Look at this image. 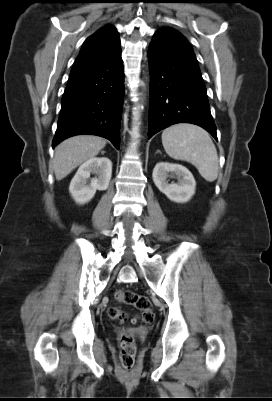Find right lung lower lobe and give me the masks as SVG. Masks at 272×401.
Returning a JSON list of instances; mask_svg holds the SVG:
<instances>
[{"label": "right lung lower lobe", "mask_w": 272, "mask_h": 401, "mask_svg": "<svg viewBox=\"0 0 272 401\" xmlns=\"http://www.w3.org/2000/svg\"><path fill=\"white\" fill-rule=\"evenodd\" d=\"M123 98L124 71L119 47L95 64L70 74L53 148L68 137L93 134L109 139L119 149Z\"/></svg>", "instance_id": "98d812e1"}]
</instances>
